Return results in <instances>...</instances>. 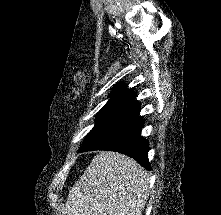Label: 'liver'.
<instances>
[{"label": "liver", "mask_w": 221, "mask_h": 215, "mask_svg": "<svg viewBox=\"0 0 221 215\" xmlns=\"http://www.w3.org/2000/svg\"><path fill=\"white\" fill-rule=\"evenodd\" d=\"M148 174L132 158L111 151L93 157L68 194L67 215H141Z\"/></svg>", "instance_id": "6515ba94"}]
</instances>
